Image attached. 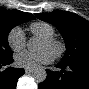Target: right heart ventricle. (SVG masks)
<instances>
[{"label":"right heart ventricle","instance_id":"1","mask_svg":"<svg viewBox=\"0 0 89 89\" xmlns=\"http://www.w3.org/2000/svg\"><path fill=\"white\" fill-rule=\"evenodd\" d=\"M30 31L41 38L53 37L55 34L54 28L46 22H34L30 25Z\"/></svg>","mask_w":89,"mask_h":89}]
</instances>
